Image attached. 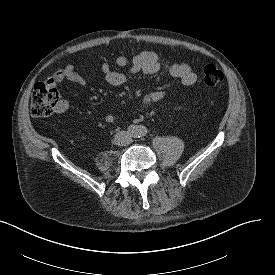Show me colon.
<instances>
[{
  "instance_id": "obj_1",
  "label": "colon",
  "mask_w": 275,
  "mask_h": 275,
  "mask_svg": "<svg viewBox=\"0 0 275 275\" xmlns=\"http://www.w3.org/2000/svg\"><path fill=\"white\" fill-rule=\"evenodd\" d=\"M205 85L210 89H216L224 81L223 72L214 65H207L203 69ZM61 100L57 90L47 82L34 84L31 95V113L34 117L46 118L51 116L60 105Z\"/></svg>"
}]
</instances>
